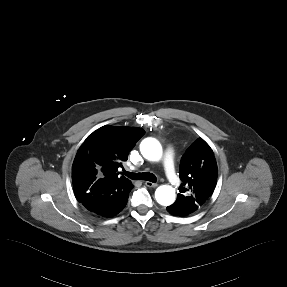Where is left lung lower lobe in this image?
Masks as SVG:
<instances>
[{
  "instance_id": "left-lung-lower-lobe-1",
  "label": "left lung lower lobe",
  "mask_w": 287,
  "mask_h": 287,
  "mask_svg": "<svg viewBox=\"0 0 287 287\" xmlns=\"http://www.w3.org/2000/svg\"><path fill=\"white\" fill-rule=\"evenodd\" d=\"M167 210L172 215H177V216H185V215H188V214L192 213V212H189L186 209L181 208L180 206H178L175 203L170 205V206H168Z\"/></svg>"
}]
</instances>
